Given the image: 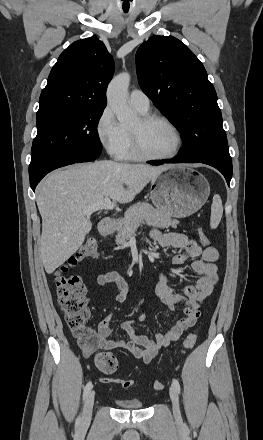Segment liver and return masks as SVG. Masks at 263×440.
<instances>
[{
	"label": "liver",
	"mask_w": 263,
	"mask_h": 440,
	"mask_svg": "<svg viewBox=\"0 0 263 440\" xmlns=\"http://www.w3.org/2000/svg\"><path fill=\"white\" fill-rule=\"evenodd\" d=\"M172 165L96 161L57 170L37 187V206L42 217L40 253L51 274L83 244L92 229L83 207L111 198L131 202L152 180Z\"/></svg>",
	"instance_id": "1"
}]
</instances>
